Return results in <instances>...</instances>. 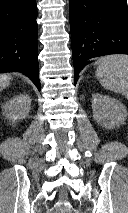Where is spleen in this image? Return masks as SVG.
Segmentation results:
<instances>
[{
	"label": "spleen",
	"mask_w": 128,
	"mask_h": 213,
	"mask_svg": "<svg viewBox=\"0 0 128 213\" xmlns=\"http://www.w3.org/2000/svg\"><path fill=\"white\" fill-rule=\"evenodd\" d=\"M96 77L100 84L128 99V55H110L98 60Z\"/></svg>",
	"instance_id": "obj_1"
}]
</instances>
